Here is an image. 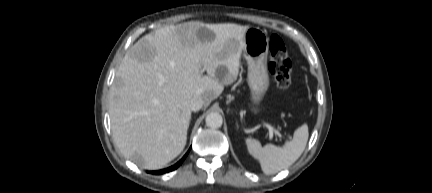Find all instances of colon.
I'll use <instances>...</instances> for the list:
<instances>
[{
  "instance_id": "5ec220e1",
  "label": "colon",
  "mask_w": 432,
  "mask_h": 193,
  "mask_svg": "<svg viewBox=\"0 0 432 193\" xmlns=\"http://www.w3.org/2000/svg\"><path fill=\"white\" fill-rule=\"evenodd\" d=\"M270 62L269 71L280 89H287L291 85L292 63L283 40L272 35L269 43Z\"/></svg>"
}]
</instances>
